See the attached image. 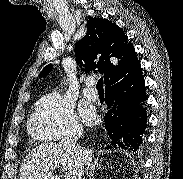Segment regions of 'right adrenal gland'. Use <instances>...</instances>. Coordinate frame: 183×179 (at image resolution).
Masks as SVG:
<instances>
[{"label":"right adrenal gland","instance_id":"1","mask_svg":"<svg viewBox=\"0 0 183 179\" xmlns=\"http://www.w3.org/2000/svg\"><path fill=\"white\" fill-rule=\"evenodd\" d=\"M101 168V161L98 162L97 160L95 162H92L90 165L87 167L86 175L88 179H92V176L94 172L98 169Z\"/></svg>","mask_w":183,"mask_h":179}]
</instances>
